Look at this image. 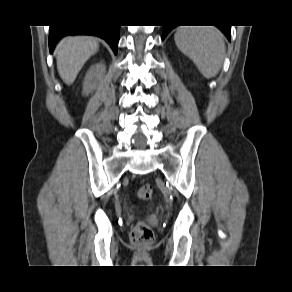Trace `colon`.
<instances>
[{"mask_svg": "<svg viewBox=\"0 0 292 292\" xmlns=\"http://www.w3.org/2000/svg\"><path fill=\"white\" fill-rule=\"evenodd\" d=\"M152 195V187L148 184L141 186L137 191V197L141 201H149ZM130 238L134 244H148L154 240V233L148 224L139 222L132 229Z\"/></svg>", "mask_w": 292, "mask_h": 292, "instance_id": "5ec220e1", "label": "colon"}]
</instances>
